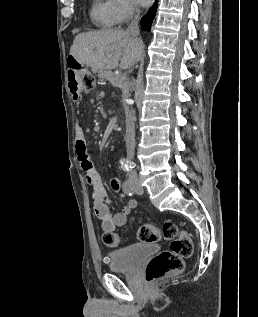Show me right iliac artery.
<instances>
[{
    "instance_id": "82829eb1",
    "label": "right iliac artery",
    "mask_w": 258,
    "mask_h": 317,
    "mask_svg": "<svg viewBox=\"0 0 258 317\" xmlns=\"http://www.w3.org/2000/svg\"><path fill=\"white\" fill-rule=\"evenodd\" d=\"M123 190L125 192V194L129 195V196H132L133 193H134V189H133V186L130 182V180H125V182L123 183Z\"/></svg>"
}]
</instances>
